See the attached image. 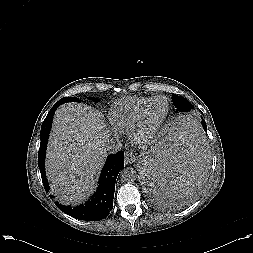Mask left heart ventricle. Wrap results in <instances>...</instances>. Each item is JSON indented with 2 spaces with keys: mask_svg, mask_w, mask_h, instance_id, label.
Returning <instances> with one entry per match:
<instances>
[{
  "mask_svg": "<svg viewBox=\"0 0 253 253\" xmlns=\"http://www.w3.org/2000/svg\"><path fill=\"white\" fill-rule=\"evenodd\" d=\"M167 110V102L163 98H159L153 102L149 108L147 119L149 124L158 122Z\"/></svg>",
  "mask_w": 253,
  "mask_h": 253,
  "instance_id": "b2bd125f",
  "label": "left heart ventricle"
}]
</instances>
